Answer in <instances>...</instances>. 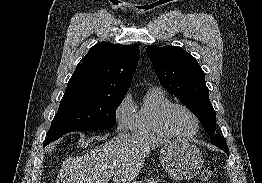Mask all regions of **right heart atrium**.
<instances>
[{
    "label": "right heart atrium",
    "instance_id": "obj_1",
    "mask_svg": "<svg viewBox=\"0 0 262 183\" xmlns=\"http://www.w3.org/2000/svg\"><path fill=\"white\" fill-rule=\"evenodd\" d=\"M114 117L118 132L122 133L131 129L134 118V110L130 94H126L116 106Z\"/></svg>",
    "mask_w": 262,
    "mask_h": 183
}]
</instances>
